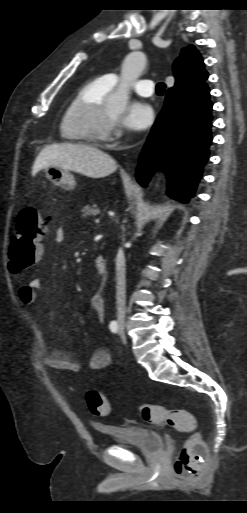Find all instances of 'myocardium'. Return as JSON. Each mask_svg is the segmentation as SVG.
Here are the masks:
<instances>
[{
    "instance_id": "f54148a6",
    "label": "myocardium",
    "mask_w": 247,
    "mask_h": 513,
    "mask_svg": "<svg viewBox=\"0 0 247 513\" xmlns=\"http://www.w3.org/2000/svg\"><path fill=\"white\" fill-rule=\"evenodd\" d=\"M113 124L114 119L108 116L107 105L103 102L82 112L72 127L93 141H101L110 136Z\"/></svg>"
}]
</instances>
